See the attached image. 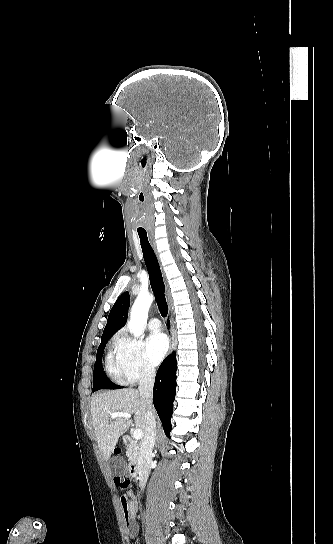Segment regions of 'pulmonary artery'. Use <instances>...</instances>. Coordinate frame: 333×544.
Wrapping results in <instances>:
<instances>
[{
    "label": "pulmonary artery",
    "mask_w": 333,
    "mask_h": 544,
    "mask_svg": "<svg viewBox=\"0 0 333 544\" xmlns=\"http://www.w3.org/2000/svg\"><path fill=\"white\" fill-rule=\"evenodd\" d=\"M148 327L151 332L158 333L161 330L160 320L158 318H151Z\"/></svg>",
    "instance_id": "pulmonary-artery-1"
}]
</instances>
